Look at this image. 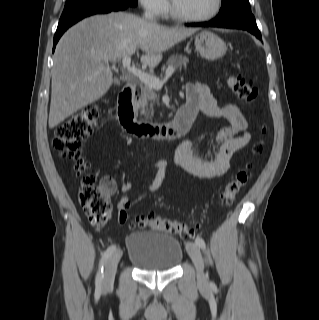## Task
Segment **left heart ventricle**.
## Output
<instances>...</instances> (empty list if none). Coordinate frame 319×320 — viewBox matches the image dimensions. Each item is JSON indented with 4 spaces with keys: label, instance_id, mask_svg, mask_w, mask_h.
<instances>
[{
    "label": "left heart ventricle",
    "instance_id": "obj_1",
    "mask_svg": "<svg viewBox=\"0 0 319 320\" xmlns=\"http://www.w3.org/2000/svg\"><path fill=\"white\" fill-rule=\"evenodd\" d=\"M175 10L185 16H203L211 12L215 0H172Z\"/></svg>",
    "mask_w": 319,
    "mask_h": 320
}]
</instances>
